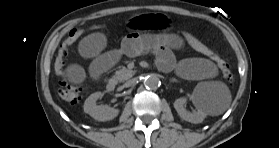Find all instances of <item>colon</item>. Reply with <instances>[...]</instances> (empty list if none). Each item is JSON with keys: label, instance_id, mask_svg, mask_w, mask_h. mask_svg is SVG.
Masks as SVG:
<instances>
[{"label": "colon", "instance_id": "colon-1", "mask_svg": "<svg viewBox=\"0 0 279 148\" xmlns=\"http://www.w3.org/2000/svg\"><path fill=\"white\" fill-rule=\"evenodd\" d=\"M103 27V24L94 23L87 29H73L70 31L68 38L63 42L59 49L54 63L55 72L61 78L59 94L64 101L72 105H76L81 101L83 89L77 83L68 78L66 71V58L68 56V50L70 46L74 44L86 31ZM183 35L194 49L215 61L221 69L225 80L228 83H232L233 74L230 70L229 64L224 59H222L216 52L207 47L199 39L194 37L191 33L184 31Z\"/></svg>", "mask_w": 279, "mask_h": 148}]
</instances>
